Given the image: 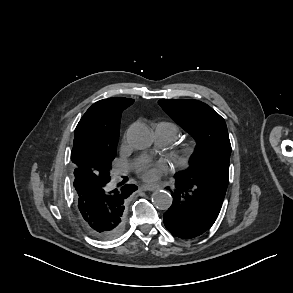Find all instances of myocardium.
I'll use <instances>...</instances> for the list:
<instances>
[{
  "mask_svg": "<svg viewBox=\"0 0 293 293\" xmlns=\"http://www.w3.org/2000/svg\"><path fill=\"white\" fill-rule=\"evenodd\" d=\"M196 152V144L193 141L184 143L179 150V160L182 164H187Z\"/></svg>",
  "mask_w": 293,
  "mask_h": 293,
  "instance_id": "f54148a6",
  "label": "myocardium"
}]
</instances>
